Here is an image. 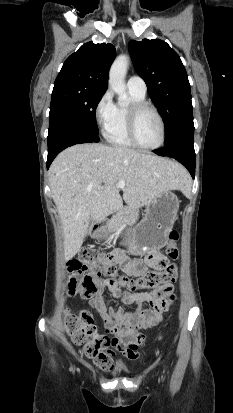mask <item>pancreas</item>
I'll return each instance as SVG.
<instances>
[{
	"instance_id": "obj_1",
	"label": "pancreas",
	"mask_w": 233,
	"mask_h": 413,
	"mask_svg": "<svg viewBox=\"0 0 233 413\" xmlns=\"http://www.w3.org/2000/svg\"><path fill=\"white\" fill-rule=\"evenodd\" d=\"M138 211L131 207H123L107 222V228L111 232L134 225L138 220Z\"/></svg>"
}]
</instances>
